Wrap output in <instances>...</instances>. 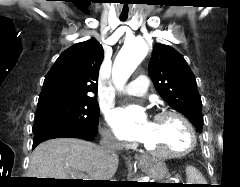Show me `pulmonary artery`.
Returning <instances> with one entry per match:
<instances>
[{"mask_svg": "<svg viewBox=\"0 0 240 187\" xmlns=\"http://www.w3.org/2000/svg\"><path fill=\"white\" fill-rule=\"evenodd\" d=\"M149 80L146 75H140L130 82L124 89V94L128 96L141 97L148 92Z\"/></svg>", "mask_w": 240, "mask_h": 187, "instance_id": "e3ab8cb5", "label": "pulmonary artery"}]
</instances>
